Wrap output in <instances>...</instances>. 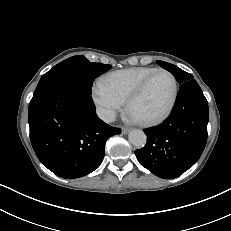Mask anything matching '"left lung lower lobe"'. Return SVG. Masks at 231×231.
Here are the masks:
<instances>
[{"label": "left lung lower lobe", "mask_w": 231, "mask_h": 231, "mask_svg": "<svg viewBox=\"0 0 231 231\" xmlns=\"http://www.w3.org/2000/svg\"><path fill=\"white\" fill-rule=\"evenodd\" d=\"M208 103L194 80L181 84L169 118L146 129V145L135 151L139 163L160 178L172 179L191 168L207 142Z\"/></svg>", "instance_id": "left-lung-lower-lobe-1"}]
</instances>
